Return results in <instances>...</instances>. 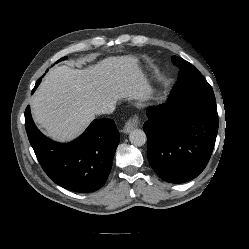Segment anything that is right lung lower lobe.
<instances>
[{"instance_id": "right-lung-lower-lobe-1", "label": "right lung lower lobe", "mask_w": 249, "mask_h": 249, "mask_svg": "<svg viewBox=\"0 0 249 249\" xmlns=\"http://www.w3.org/2000/svg\"><path fill=\"white\" fill-rule=\"evenodd\" d=\"M40 82L37 80L32 92ZM25 128L41 167L56 184L75 192H93L105 184L119 143L113 120H94L79 138L62 144L37 129L28 106Z\"/></svg>"}]
</instances>
